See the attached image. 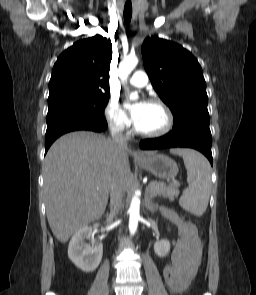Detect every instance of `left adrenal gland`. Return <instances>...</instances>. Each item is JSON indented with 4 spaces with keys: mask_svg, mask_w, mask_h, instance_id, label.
<instances>
[{
    "mask_svg": "<svg viewBox=\"0 0 256 295\" xmlns=\"http://www.w3.org/2000/svg\"><path fill=\"white\" fill-rule=\"evenodd\" d=\"M157 206L158 205L153 203L152 200L149 198L148 194L146 193V195H145V207H146V209L149 210L151 213H154Z\"/></svg>",
    "mask_w": 256,
    "mask_h": 295,
    "instance_id": "1",
    "label": "left adrenal gland"
}]
</instances>
